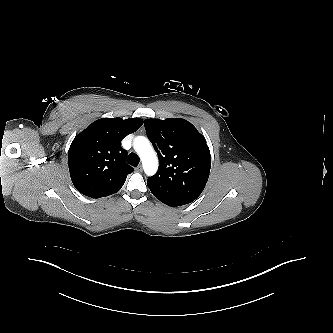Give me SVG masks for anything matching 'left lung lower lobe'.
Returning a JSON list of instances; mask_svg holds the SVG:
<instances>
[{
	"label": "left lung lower lobe",
	"mask_w": 333,
	"mask_h": 333,
	"mask_svg": "<svg viewBox=\"0 0 333 333\" xmlns=\"http://www.w3.org/2000/svg\"><path fill=\"white\" fill-rule=\"evenodd\" d=\"M163 203L172 207L185 205L194 201V199L181 198L176 196H169L166 199H162Z\"/></svg>",
	"instance_id": "obj_1"
}]
</instances>
